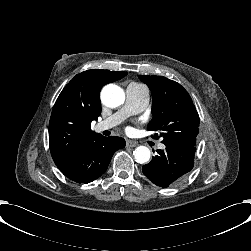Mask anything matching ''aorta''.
<instances>
[{"mask_svg": "<svg viewBox=\"0 0 251 251\" xmlns=\"http://www.w3.org/2000/svg\"><path fill=\"white\" fill-rule=\"evenodd\" d=\"M102 103L109 107H117L125 100V93L122 88L115 84H108L101 91ZM135 161L145 164L150 160V150L146 146H138L134 152Z\"/></svg>", "mask_w": 251, "mask_h": 251, "instance_id": "aorta-1", "label": "aorta"}]
</instances>
